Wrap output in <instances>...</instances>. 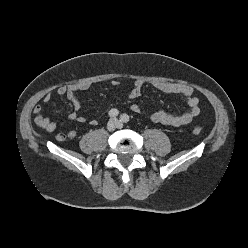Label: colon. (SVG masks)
Here are the masks:
<instances>
[{"instance_id":"1","label":"colon","mask_w":248,"mask_h":248,"mask_svg":"<svg viewBox=\"0 0 248 248\" xmlns=\"http://www.w3.org/2000/svg\"><path fill=\"white\" fill-rule=\"evenodd\" d=\"M201 132H202V129H201L200 127H194V128H193V133H194L195 135H200Z\"/></svg>"}]
</instances>
